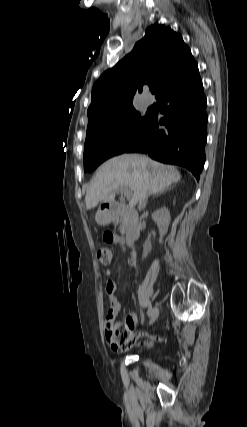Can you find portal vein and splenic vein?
Returning a JSON list of instances; mask_svg holds the SVG:
<instances>
[{"instance_id":"portal-vein-and-splenic-vein-1","label":"portal vein and splenic vein","mask_w":247,"mask_h":427,"mask_svg":"<svg viewBox=\"0 0 247 427\" xmlns=\"http://www.w3.org/2000/svg\"><path fill=\"white\" fill-rule=\"evenodd\" d=\"M121 192L125 197H129L131 195V191L125 188H121Z\"/></svg>"}]
</instances>
